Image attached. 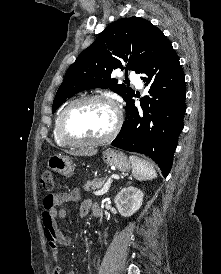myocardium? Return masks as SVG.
I'll list each match as a JSON object with an SVG mask.
<instances>
[{
	"label": "myocardium",
	"instance_id": "f54148a6",
	"mask_svg": "<svg viewBox=\"0 0 221 274\" xmlns=\"http://www.w3.org/2000/svg\"><path fill=\"white\" fill-rule=\"evenodd\" d=\"M92 102H99L109 105L115 116L114 124L111 128V130L104 136L99 138H76L70 135L66 128V120L68 114L73 110L75 107L85 104V103H92ZM122 125V112L118 106V104L109 97L103 96V95H91V96H85L78 98L72 102H70L61 112L59 120H58V133L60 137L69 145L73 146H86V145H97L106 143L110 140H112L117 133L119 132Z\"/></svg>",
	"mask_w": 221,
	"mask_h": 274
}]
</instances>
